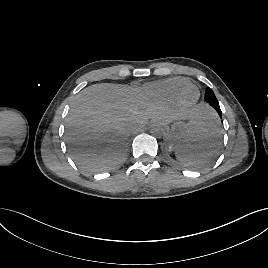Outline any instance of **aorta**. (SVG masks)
Instances as JSON below:
<instances>
[{"instance_id": "obj_1", "label": "aorta", "mask_w": 268, "mask_h": 268, "mask_svg": "<svg viewBox=\"0 0 268 268\" xmlns=\"http://www.w3.org/2000/svg\"><path fill=\"white\" fill-rule=\"evenodd\" d=\"M164 133L165 130L161 126H156L151 129V134L156 138L162 137Z\"/></svg>"}]
</instances>
